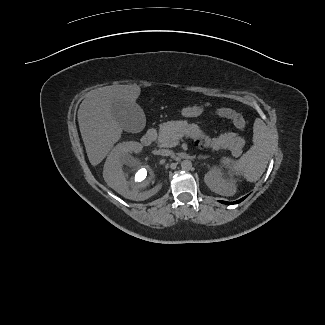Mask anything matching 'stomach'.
I'll return each instance as SVG.
<instances>
[{"label":"stomach","mask_w":325,"mask_h":325,"mask_svg":"<svg viewBox=\"0 0 325 325\" xmlns=\"http://www.w3.org/2000/svg\"><path fill=\"white\" fill-rule=\"evenodd\" d=\"M203 108L200 106L187 107L182 110V115L184 117H197L201 115Z\"/></svg>","instance_id":"0dacf381"}]
</instances>
